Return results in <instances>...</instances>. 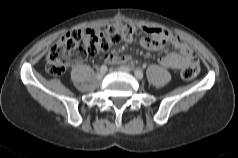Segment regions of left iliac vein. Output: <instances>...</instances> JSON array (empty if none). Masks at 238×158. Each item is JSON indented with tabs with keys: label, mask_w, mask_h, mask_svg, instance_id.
Returning <instances> with one entry per match:
<instances>
[{
	"label": "left iliac vein",
	"mask_w": 238,
	"mask_h": 158,
	"mask_svg": "<svg viewBox=\"0 0 238 158\" xmlns=\"http://www.w3.org/2000/svg\"><path fill=\"white\" fill-rule=\"evenodd\" d=\"M119 71L130 73L131 69L127 66H121L118 68Z\"/></svg>",
	"instance_id": "1"
}]
</instances>
